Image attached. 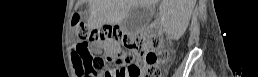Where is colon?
<instances>
[{"label":"colon","mask_w":258,"mask_h":77,"mask_svg":"<svg viewBox=\"0 0 258 77\" xmlns=\"http://www.w3.org/2000/svg\"><path fill=\"white\" fill-rule=\"evenodd\" d=\"M74 31L79 42L74 52L75 67L78 75L94 76L104 68L102 55H94L92 50H106L118 44L126 49L121 53L118 68L108 77H160V66L169 59L163 49V41L157 31L151 34L128 35L121 28L104 26L90 28L76 19Z\"/></svg>","instance_id":"5ec220e1"}]
</instances>
